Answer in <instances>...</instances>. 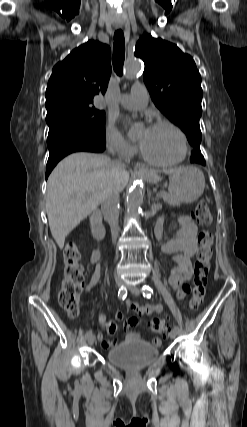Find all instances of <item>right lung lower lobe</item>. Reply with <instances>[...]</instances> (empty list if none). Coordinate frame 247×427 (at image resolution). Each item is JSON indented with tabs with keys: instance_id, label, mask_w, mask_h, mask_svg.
<instances>
[{
	"instance_id": "1",
	"label": "right lung lower lobe",
	"mask_w": 247,
	"mask_h": 427,
	"mask_svg": "<svg viewBox=\"0 0 247 427\" xmlns=\"http://www.w3.org/2000/svg\"><path fill=\"white\" fill-rule=\"evenodd\" d=\"M49 158L46 165V179L55 165L66 155L78 152H103L105 143L89 135L65 126H51L47 138Z\"/></svg>"
}]
</instances>
